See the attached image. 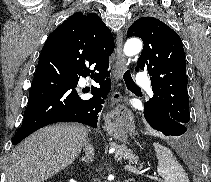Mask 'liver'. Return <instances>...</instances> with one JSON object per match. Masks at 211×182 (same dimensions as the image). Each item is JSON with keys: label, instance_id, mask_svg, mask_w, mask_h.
<instances>
[{"label": "liver", "instance_id": "obj_1", "mask_svg": "<svg viewBox=\"0 0 211 182\" xmlns=\"http://www.w3.org/2000/svg\"><path fill=\"white\" fill-rule=\"evenodd\" d=\"M87 138L88 130L79 124L40 129L12 151L8 182H44L73 163Z\"/></svg>", "mask_w": 211, "mask_h": 182}]
</instances>
